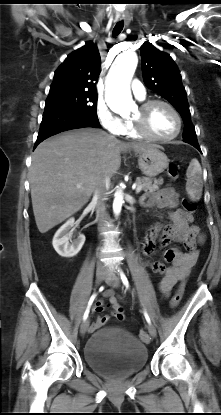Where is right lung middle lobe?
Listing matches in <instances>:
<instances>
[{"label": "right lung middle lobe", "mask_w": 221, "mask_h": 415, "mask_svg": "<svg viewBox=\"0 0 221 415\" xmlns=\"http://www.w3.org/2000/svg\"><path fill=\"white\" fill-rule=\"evenodd\" d=\"M45 110L73 111L98 119L97 92L67 90L49 93L45 102Z\"/></svg>", "instance_id": "dd1d6c3e"}]
</instances>
